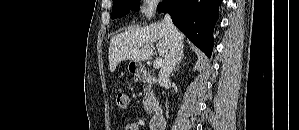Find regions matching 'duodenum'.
Returning <instances> with one entry per match:
<instances>
[{
	"mask_svg": "<svg viewBox=\"0 0 299 130\" xmlns=\"http://www.w3.org/2000/svg\"><path fill=\"white\" fill-rule=\"evenodd\" d=\"M137 73L142 80L151 83H155L157 81L154 75H152L150 72H148L143 68H139ZM150 124L152 130H164L165 118H164L163 111L161 109H158L156 114L151 118Z\"/></svg>",
	"mask_w": 299,
	"mask_h": 130,
	"instance_id": "duodenum-1",
	"label": "duodenum"
}]
</instances>
